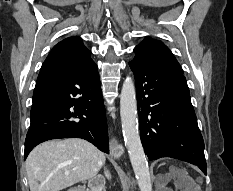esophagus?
<instances>
[{"mask_svg": "<svg viewBox=\"0 0 233 191\" xmlns=\"http://www.w3.org/2000/svg\"><path fill=\"white\" fill-rule=\"evenodd\" d=\"M112 149V156H120L121 151L123 150L122 147L118 144L117 140L112 137L110 143Z\"/></svg>", "mask_w": 233, "mask_h": 191, "instance_id": "obj_1", "label": "esophagus"}]
</instances>
